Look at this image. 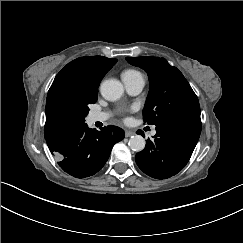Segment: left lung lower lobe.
Instances as JSON below:
<instances>
[{"instance_id":"obj_1","label":"left lung lower lobe","mask_w":243,"mask_h":243,"mask_svg":"<svg viewBox=\"0 0 243 243\" xmlns=\"http://www.w3.org/2000/svg\"><path fill=\"white\" fill-rule=\"evenodd\" d=\"M201 133V122L172 120L156 126L154 142L135 156L138 167L150 177L167 179L188 163Z\"/></svg>"}]
</instances>
